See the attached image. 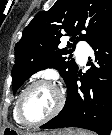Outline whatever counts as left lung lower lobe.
<instances>
[{"label": "left lung lower lobe", "mask_w": 112, "mask_h": 135, "mask_svg": "<svg viewBox=\"0 0 112 135\" xmlns=\"http://www.w3.org/2000/svg\"><path fill=\"white\" fill-rule=\"evenodd\" d=\"M94 65L81 76L78 71L67 85V99L62 111L40 128L78 127L99 135L112 130V22L96 41ZM80 77V78H79ZM80 80L81 85H77Z\"/></svg>", "instance_id": "1"}]
</instances>
